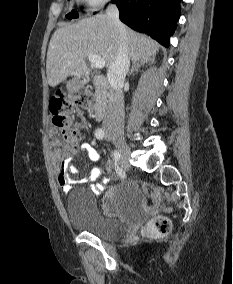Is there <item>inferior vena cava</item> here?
<instances>
[{
  "mask_svg": "<svg viewBox=\"0 0 233 284\" xmlns=\"http://www.w3.org/2000/svg\"><path fill=\"white\" fill-rule=\"evenodd\" d=\"M106 15L110 17L119 32L118 54L108 68L107 77L110 83V99L103 120L106 132H121L124 127V96L123 84L130 66L128 55V35L125 26L119 20V11L116 5H109Z\"/></svg>",
  "mask_w": 233,
  "mask_h": 284,
  "instance_id": "1",
  "label": "inferior vena cava"
}]
</instances>
